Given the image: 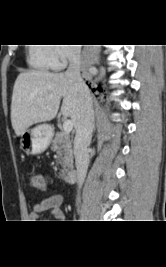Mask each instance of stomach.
<instances>
[{
    "label": "stomach",
    "instance_id": "stomach-1",
    "mask_svg": "<svg viewBox=\"0 0 166 267\" xmlns=\"http://www.w3.org/2000/svg\"><path fill=\"white\" fill-rule=\"evenodd\" d=\"M52 137V127L48 124H42L24 132L21 135L20 146L26 154L38 155L49 147Z\"/></svg>",
    "mask_w": 166,
    "mask_h": 267
}]
</instances>
